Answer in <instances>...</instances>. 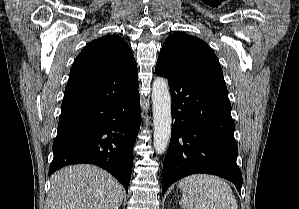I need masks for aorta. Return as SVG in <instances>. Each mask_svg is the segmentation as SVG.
I'll use <instances>...</instances> for the list:
<instances>
[{
	"instance_id": "obj_1",
	"label": "aorta",
	"mask_w": 299,
	"mask_h": 209,
	"mask_svg": "<svg viewBox=\"0 0 299 209\" xmlns=\"http://www.w3.org/2000/svg\"><path fill=\"white\" fill-rule=\"evenodd\" d=\"M154 117V148L157 154H163L171 137V95L167 81L157 77L152 86Z\"/></svg>"
}]
</instances>
